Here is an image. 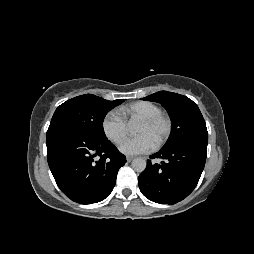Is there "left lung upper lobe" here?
Listing matches in <instances>:
<instances>
[{"instance_id":"1","label":"left lung upper lobe","mask_w":254,"mask_h":254,"mask_svg":"<svg viewBox=\"0 0 254 254\" xmlns=\"http://www.w3.org/2000/svg\"><path fill=\"white\" fill-rule=\"evenodd\" d=\"M143 100L160 103L170 115L171 134L162 149H169L193 141L208 143V132L204 118L196 103L188 97L160 91L143 98Z\"/></svg>"}]
</instances>
